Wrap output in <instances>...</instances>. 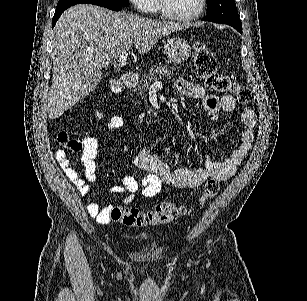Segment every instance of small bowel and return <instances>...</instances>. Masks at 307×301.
<instances>
[{
    "label": "small bowel",
    "instance_id": "small-bowel-1",
    "mask_svg": "<svg viewBox=\"0 0 307 301\" xmlns=\"http://www.w3.org/2000/svg\"><path fill=\"white\" fill-rule=\"evenodd\" d=\"M178 93L185 96L202 100V108L208 117L215 121L221 111L231 112L236 108V100L232 95L218 97L207 94L205 89L197 83L179 79L175 83ZM244 128L240 135V143L233 154L221 161L212 160L205 155L204 164L199 169L177 168L172 169L165 161L156 154L141 149L133 157L135 166L148 172L139 182L134 176L125 175L119 185L110 188V193L125 194L124 203H130L138 192L144 197L156 196L164 186L175 188L191 189L197 188L207 179L213 178L223 181L231 178L240 164L247 158L255 139V129L257 116L253 109L245 107L241 114ZM122 119L114 116L109 122L110 129L122 126ZM83 154L82 162L84 166L85 179L71 166L64 150H57L55 158L67 178L78 189L81 197L85 201L86 210L89 215L100 224H107L110 221L112 206L101 208L91 198V190L87 182L96 180V157L98 154V141L93 136H86L82 139Z\"/></svg>",
    "mask_w": 307,
    "mask_h": 301
}]
</instances>
